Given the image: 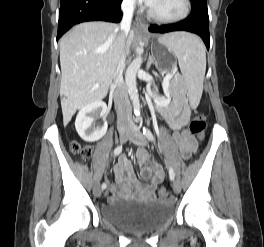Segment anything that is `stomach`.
Listing matches in <instances>:
<instances>
[{
	"label": "stomach",
	"instance_id": "0dacf381",
	"mask_svg": "<svg viewBox=\"0 0 264 247\" xmlns=\"http://www.w3.org/2000/svg\"><path fill=\"white\" fill-rule=\"evenodd\" d=\"M170 35L171 34L164 35L158 39L157 44H151V49H153L155 58V68L165 71V74H169V71L175 67V64L171 63L175 61L173 53H168L169 46L164 42V40L168 39Z\"/></svg>",
	"mask_w": 264,
	"mask_h": 247
}]
</instances>
